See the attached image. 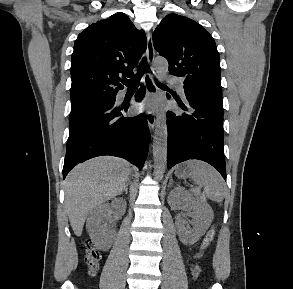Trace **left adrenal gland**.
<instances>
[{"label":"left adrenal gland","mask_w":293,"mask_h":289,"mask_svg":"<svg viewBox=\"0 0 293 289\" xmlns=\"http://www.w3.org/2000/svg\"><path fill=\"white\" fill-rule=\"evenodd\" d=\"M172 183H173V180H172V178H170V182H169L168 188H170L172 186Z\"/></svg>","instance_id":"a2214340"}]
</instances>
